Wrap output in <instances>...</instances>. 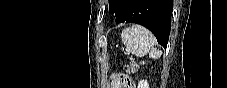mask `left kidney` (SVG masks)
<instances>
[{
    "instance_id": "5707ae66",
    "label": "left kidney",
    "mask_w": 227,
    "mask_h": 88,
    "mask_svg": "<svg viewBox=\"0 0 227 88\" xmlns=\"http://www.w3.org/2000/svg\"><path fill=\"white\" fill-rule=\"evenodd\" d=\"M137 88H149V83L147 80H141L139 83H138V86Z\"/></svg>"
}]
</instances>
